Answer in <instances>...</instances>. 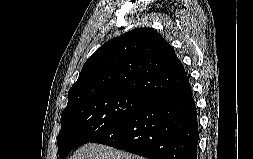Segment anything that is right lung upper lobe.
Returning a JSON list of instances; mask_svg holds the SVG:
<instances>
[{"instance_id":"right-lung-upper-lobe-1","label":"right lung upper lobe","mask_w":253,"mask_h":159,"mask_svg":"<svg viewBox=\"0 0 253 159\" xmlns=\"http://www.w3.org/2000/svg\"><path fill=\"white\" fill-rule=\"evenodd\" d=\"M188 81L172 46L151 28L106 42L84 64L68 103L96 94L131 93L148 100Z\"/></svg>"}]
</instances>
